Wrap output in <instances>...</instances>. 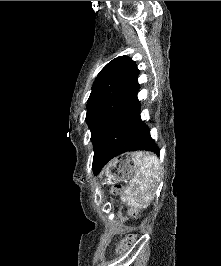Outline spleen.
Masks as SVG:
<instances>
[{"label": "spleen", "mask_w": 221, "mask_h": 266, "mask_svg": "<svg viewBox=\"0 0 221 266\" xmlns=\"http://www.w3.org/2000/svg\"><path fill=\"white\" fill-rule=\"evenodd\" d=\"M133 156L138 170L131 179L126 193L131 204L142 207L149 203L158 187L161 178V167L157 157L149 153L135 152Z\"/></svg>", "instance_id": "3e777b00"}]
</instances>
